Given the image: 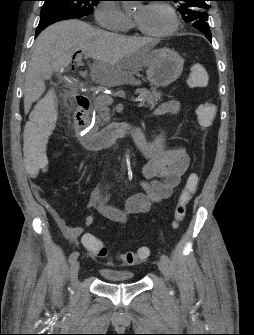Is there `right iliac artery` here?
<instances>
[{"label": "right iliac artery", "instance_id": "1", "mask_svg": "<svg viewBox=\"0 0 254 335\" xmlns=\"http://www.w3.org/2000/svg\"><path fill=\"white\" fill-rule=\"evenodd\" d=\"M107 199H108V198L106 197V201H107ZM78 256H79V252L74 251L73 253H71V255H70V257H69V262H70L71 264H73V263L77 260Z\"/></svg>", "mask_w": 254, "mask_h": 335}]
</instances>
